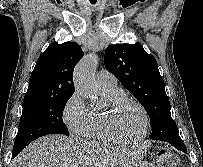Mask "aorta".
<instances>
[{"label":"aorta","mask_w":203,"mask_h":167,"mask_svg":"<svg viewBox=\"0 0 203 167\" xmlns=\"http://www.w3.org/2000/svg\"><path fill=\"white\" fill-rule=\"evenodd\" d=\"M97 57L94 54L84 57L76 66L74 85L76 90L85 98L93 100L97 94L94 72Z\"/></svg>","instance_id":"762f6f07"}]
</instances>
